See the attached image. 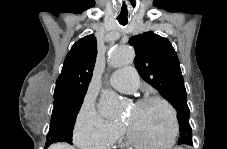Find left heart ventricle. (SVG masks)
<instances>
[{
  "instance_id": "left-heart-ventricle-1",
  "label": "left heart ventricle",
  "mask_w": 227,
  "mask_h": 149,
  "mask_svg": "<svg viewBox=\"0 0 227 149\" xmlns=\"http://www.w3.org/2000/svg\"><path fill=\"white\" fill-rule=\"evenodd\" d=\"M123 120L129 122L139 135L152 141L165 142L173 131L170 111L158 102L133 107Z\"/></svg>"
}]
</instances>
